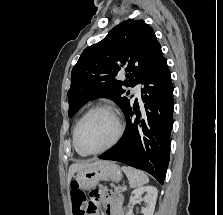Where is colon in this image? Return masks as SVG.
<instances>
[{
  "mask_svg": "<svg viewBox=\"0 0 223 215\" xmlns=\"http://www.w3.org/2000/svg\"><path fill=\"white\" fill-rule=\"evenodd\" d=\"M71 200L73 215H86L89 206L86 200L84 192L79 188L77 184L72 185L71 189Z\"/></svg>",
  "mask_w": 223,
  "mask_h": 215,
  "instance_id": "1",
  "label": "colon"
}]
</instances>
